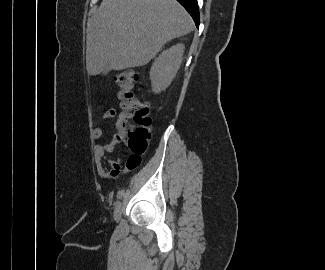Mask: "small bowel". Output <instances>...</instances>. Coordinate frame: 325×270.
Masks as SVG:
<instances>
[{"label":"small bowel","instance_id":"small-bowel-1","mask_svg":"<svg viewBox=\"0 0 325 270\" xmlns=\"http://www.w3.org/2000/svg\"><path fill=\"white\" fill-rule=\"evenodd\" d=\"M116 116V111L114 109L108 110L102 116L103 121H110ZM103 132L102 129L96 127L92 131V138L96 141H99L102 138ZM119 142L114 138L111 142L106 144H96L94 146L95 154V167L98 175L101 178H107L109 176H117L124 168L127 170L134 169L129 168L127 162L123 165L122 161L112 160L107 158V154L115 150L116 145Z\"/></svg>","mask_w":325,"mask_h":270}]
</instances>
